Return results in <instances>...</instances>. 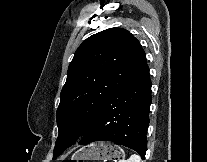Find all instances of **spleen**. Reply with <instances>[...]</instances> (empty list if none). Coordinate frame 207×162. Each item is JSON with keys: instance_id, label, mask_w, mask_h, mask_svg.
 Returning <instances> with one entry per match:
<instances>
[{"instance_id": "obj_1", "label": "spleen", "mask_w": 207, "mask_h": 162, "mask_svg": "<svg viewBox=\"0 0 207 162\" xmlns=\"http://www.w3.org/2000/svg\"><path fill=\"white\" fill-rule=\"evenodd\" d=\"M120 162H141V158L139 155L133 154L129 157L128 160H122Z\"/></svg>"}]
</instances>
